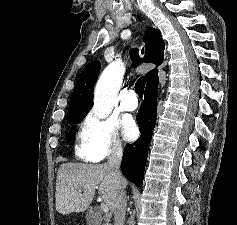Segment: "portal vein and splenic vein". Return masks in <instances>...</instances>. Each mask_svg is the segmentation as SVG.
<instances>
[{
	"instance_id": "18ae733b",
	"label": "portal vein and splenic vein",
	"mask_w": 237,
	"mask_h": 225,
	"mask_svg": "<svg viewBox=\"0 0 237 225\" xmlns=\"http://www.w3.org/2000/svg\"><path fill=\"white\" fill-rule=\"evenodd\" d=\"M100 208H101V210H102L103 212H105V213L109 212V207H108L107 204H105V203H101V204H100Z\"/></svg>"
}]
</instances>
